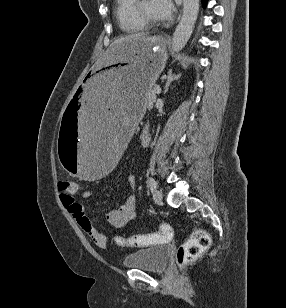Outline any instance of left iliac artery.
<instances>
[{
  "label": "left iliac artery",
  "mask_w": 286,
  "mask_h": 308,
  "mask_svg": "<svg viewBox=\"0 0 286 308\" xmlns=\"http://www.w3.org/2000/svg\"><path fill=\"white\" fill-rule=\"evenodd\" d=\"M148 185L152 192L156 189V181L153 178L148 179Z\"/></svg>",
  "instance_id": "1"
}]
</instances>
